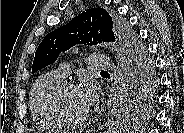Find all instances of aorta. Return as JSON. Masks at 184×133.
Masks as SVG:
<instances>
[{"mask_svg": "<svg viewBox=\"0 0 184 133\" xmlns=\"http://www.w3.org/2000/svg\"><path fill=\"white\" fill-rule=\"evenodd\" d=\"M107 52L114 54V51L111 48L107 49Z\"/></svg>", "mask_w": 184, "mask_h": 133, "instance_id": "1", "label": "aorta"}]
</instances>
